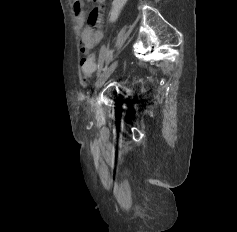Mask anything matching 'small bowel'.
<instances>
[{
	"instance_id": "obj_1",
	"label": "small bowel",
	"mask_w": 237,
	"mask_h": 232,
	"mask_svg": "<svg viewBox=\"0 0 237 232\" xmlns=\"http://www.w3.org/2000/svg\"><path fill=\"white\" fill-rule=\"evenodd\" d=\"M89 1H95L98 6L92 9L88 19H86L83 5L84 2ZM106 1L107 0H75L76 21L78 27L82 29L80 44L83 53H87L91 48L97 45L103 37L102 26L104 23Z\"/></svg>"
}]
</instances>
